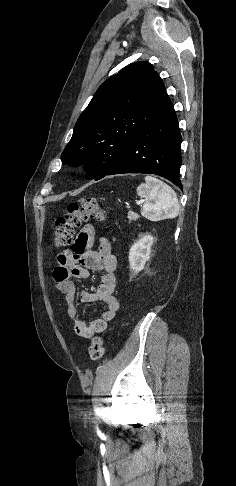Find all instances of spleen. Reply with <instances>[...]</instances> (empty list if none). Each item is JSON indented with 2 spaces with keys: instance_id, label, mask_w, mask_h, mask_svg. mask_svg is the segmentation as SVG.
Returning a JSON list of instances; mask_svg holds the SVG:
<instances>
[{
  "instance_id": "3e777b00",
  "label": "spleen",
  "mask_w": 236,
  "mask_h": 486,
  "mask_svg": "<svg viewBox=\"0 0 236 486\" xmlns=\"http://www.w3.org/2000/svg\"><path fill=\"white\" fill-rule=\"evenodd\" d=\"M137 194L145 199L141 214L151 221L172 219L178 216L180 204L176 192L166 183L146 176L145 183L137 187Z\"/></svg>"
}]
</instances>
